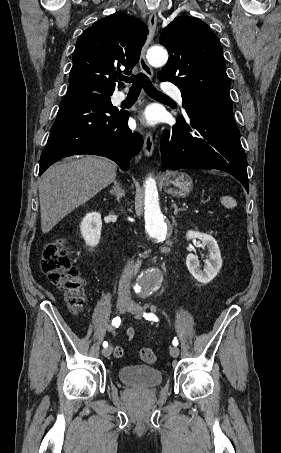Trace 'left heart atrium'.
Wrapping results in <instances>:
<instances>
[{"label": "left heart atrium", "mask_w": 281, "mask_h": 453, "mask_svg": "<svg viewBox=\"0 0 281 453\" xmlns=\"http://www.w3.org/2000/svg\"><path fill=\"white\" fill-rule=\"evenodd\" d=\"M140 120L145 125H155L160 121L157 109L153 106L147 107L140 115Z\"/></svg>", "instance_id": "left-heart-atrium-1"}]
</instances>
